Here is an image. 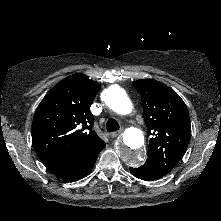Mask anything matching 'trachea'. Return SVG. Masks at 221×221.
<instances>
[{
  "instance_id": "1",
  "label": "trachea",
  "mask_w": 221,
  "mask_h": 221,
  "mask_svg": "<svg viewBox=\"0 0 221 221\" xmlns=\"http://www.w3.org/2000/svg\"><path fill=\"white\" fill-rule=\"evenodd\" d=\"M106 129L108 132L117 131V130H119V124L115 119L110 118L107 121Z\"/></svg>"
}]
</instances>
